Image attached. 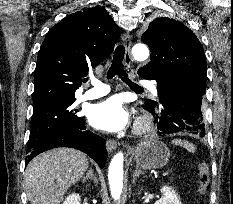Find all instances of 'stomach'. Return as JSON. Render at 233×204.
<instances>
[{"label": "stomach", "mask_w": 233, "mask_h": 204, "mask_svg": "<svg viewBox=\"0 0 233 204\" xmlns=\"http://www.w3.org/2000/svg\"><path fill=\"white\" fill-rule=\"evenodd\" d=\"M168 147L157 140L142 143L135 151L134 160L140 168L159 169L165 166L169 160Z\"/></svg>", "instance_id": "stomach-1"}]
</instances>
